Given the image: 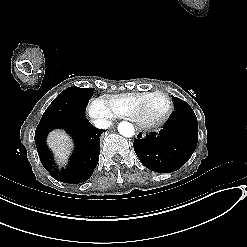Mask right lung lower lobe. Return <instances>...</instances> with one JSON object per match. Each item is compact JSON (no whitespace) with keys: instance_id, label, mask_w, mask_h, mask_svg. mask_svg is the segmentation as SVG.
I'll list each match as a JSON object with an SVG mask.
<instances>
[{"instance_id":"obj_1","label":"right lung lower lobe","mask_w":247,"mask_h":247,"mask_svg":"<svg viewBox=\"0 0 247 247\" xmlns=\"http://www.w3.org/2000/svg\"><path fill=\"white\" fill-rule=\"evenodd\" d=\"M56 128L67 130L76 142L69 166L61 170L56 167L45 142L48 132ZM103 131L91 125L85 115L56 117L40 122L35 130V144L43 167L58 181L75 184L85 182L97 166Z\"/></svg>"}]
</instances>
